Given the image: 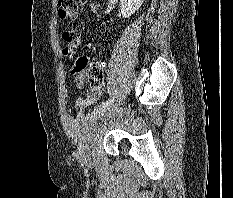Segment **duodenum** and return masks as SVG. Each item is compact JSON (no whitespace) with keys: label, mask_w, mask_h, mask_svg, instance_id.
<instances>
[{"label":"duodenum","mask_w":233,"mask_h":198,"mask_svg":"<svg viewBox=\"0 0 233 198\" xmlns=\"http://www.w3.org/2000/svg\"><path fill=\"white\" fill-rule=\"evenodd\" d=\"M92 10H93V11H96V10H97V4H93V5H92Z\"/></svg>","instance_id":"410a0bca"}]
</instances>
